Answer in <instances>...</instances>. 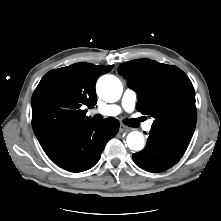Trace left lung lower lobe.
Listing matches in <instances>:
<instances>
[{"label": "left lung lower lobe", "instance_id": "obj_1", "mask_svg": "<svg viewBox=\"0 0 221 221\" xmlns=\"http://www.w3.org/2000/svg\"><path fill=\"white\" fill-rule=\"evenodd\" d=\"M189 144L151 129L146 147L133 154L137 166L149 172H162L176 164Z\"/></svg>", "mask_w": 221, "mask_h": 221}]
</instances>
